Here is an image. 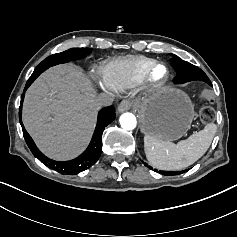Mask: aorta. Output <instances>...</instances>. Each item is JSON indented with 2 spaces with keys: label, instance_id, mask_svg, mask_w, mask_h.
<instances>
[{
  "label": "aorta",
  "instance_id": "obj_1",
  "mask_svg": "<svg viewBox=\"0 0 237 237\" xmlns=\"http://www.w3.org/2000/svg\"><path fill=\"white\" fill-rule=\"evenodd\" d=\"M121 127L126 131H132L137 126V119L132 113H124L120 117Z\"/></svg>",
  "mask_w": 237,
  "mask_h": 237
}]
</instances>
